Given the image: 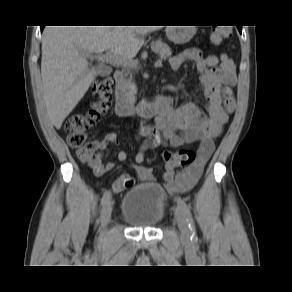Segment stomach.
<instances>
[{"instance_id": "1", "label": "stomach", "mask_w": 292, "mask_h": 292, "mask_svg": "<svg viewBox=\"0 0 292 292\" xmlns=\"http://www.w3.org/2000/svg\"><path fill=\"white\" fill-rule=\"evenodd\" d=\"M194 26L169 27L166 29L168 39L176 44H184L189 42L195 33Z\"/></svg>"}]
</instances>
